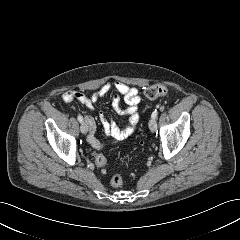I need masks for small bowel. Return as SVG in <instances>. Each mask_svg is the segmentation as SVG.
I'll return each instance as SVG.
<instances>
[{
  "label": "small bowel",
  "instance_id": "1",
  "mask_svg": "<svg viewBox=\"0 0 240 240\" xmlns=\"http://www.w3.org/2000/svg\"><path fill=\"white\" fill-rule=\"evenodd\" d=\"M112 91H115V94L111 97L114 111L119 115L128 117V122L124 126H119L113 120L107 118L104 112H100L99 120L105 136L109 139L107 142H102L95 136L96 122L94 118L86 115L85 123L89 131L87 140L95 149H103L107 144L120 142L134 133L139 121L138 106L141 101L139 90L124 82L115 81L113 83H105L90 96L75 90L67 91L62 96L63 101L66 103L78 101L87 108L94 109L98 100ZM121 97L127 105L126 108L121 106Z\"/></svg>",
  "mask_w": 240,
  "mask_h": 240
}]
</instances>
